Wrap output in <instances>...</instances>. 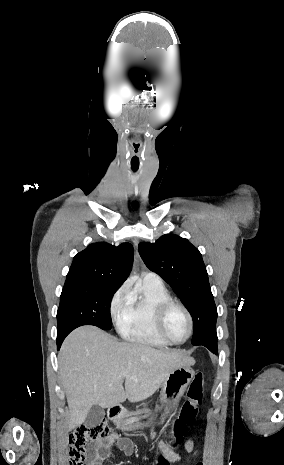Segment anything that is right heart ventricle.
I'll list each match as a JSON object with an SVG mask.
<instances>
[{"mask_svg": "<svg viewBox=\"0 0 284 465\" xmlns=\"http://www.w3.org/2000/svg\"><path fill=\"white\" fill-rule=\"evenodd\" d=\"M173 300L163 281L143 280L138 294L121 309L116 317L118 333L133 346H168L156 332L155 321L159 307Z\"/></svg>", "mask_w": 284, "mask_h": 465, "instance_id": "right-heart-ventricle-1", "label": "right heart ventricle"}]
</instances>
